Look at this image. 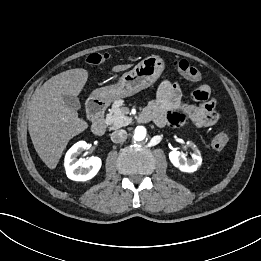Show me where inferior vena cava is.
Returning <instances> with one entry per match:
<instances>
[{"label":"inferior vena cava","mask_w":261,"mask_h":261,"mask_svg":"<svg viewBox=\"0 0 261 261\" xmlns=\"http://www.w3.org/2000/svg\"><path fill=\"white\" fill-rule=\"evenodd\" d=\"M127 138V132L123 129L116 130L111 133V140L114 143H121L124 142Z\"/></svg>","instance_id":"obj_1"}]
</instances>
